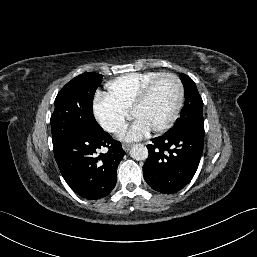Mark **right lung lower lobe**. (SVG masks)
<instances>
[{"instance_id":"98d812e1","label":"right lung lower lobe","mask_w":257,"mask_h":257,"mask_svg":"<svg viewBox=\"0 0 257 257\" xmlns=\"http://www.w3.org/2000/svg\"><path fill=\"white\" fill-rule=\"evenodd\" d=\"M102 147H107L108 152L97 155ZM53 148L63 178L81 197L100 199L115 187L117 167L125 152L107 132L92 137L68 136Z\"/></svg>"}]
</instances>
